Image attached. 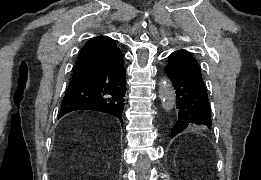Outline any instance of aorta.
Wrapping results in <instances>:
<instances>
[{"instance_id": "1", "label": "aorta", "mask_w": 261, "mask_h": 180, "mask_svg": "<svg viewBox=\"0 0 261 180\" xmlns=\"http://www.w3.org/2000/svg\"><path fill=\"white\" fill-rule=\"evenodd\" d=\"M159 97L164 110L171 111L174 108L176 102L175 89L167 77L160 79Z\"/></svg>"}]
</instances>
